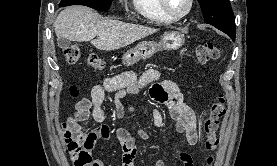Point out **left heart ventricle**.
Here are the masks:
<instances>
[{"label":"left heart ventricle","instance_id":"b2bd125f","mask_svg":"<svg viewBox=\"0 0 277 166\" xmlns=\"http://www.w3.org/2000/svg\"><path fill=\"white\" fill-rule=\"evenodd\" d=\"M168 6L174 13H182L188 6V0H167Z\"/></svg>","mask_w":277,"mask_h":166}]
</instances>
